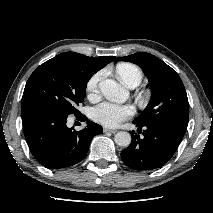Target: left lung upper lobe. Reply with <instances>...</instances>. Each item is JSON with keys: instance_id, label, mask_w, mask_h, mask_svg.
<instances>
[{"instance_id": "obj_1", "label": "left lung upper lobe", "mask_w": 213, "mask_h": 213, "mask_svg": "<svg viewBox=\"0 0 213 213\" xmlns=\"http://www.w3.org/2000/svg\"><path fill=\"white\" fill-rule=\"evenodd\" d=\"M118 59L137 64L149 78L151 99L134 122L171 123L186 129L189 119L188 98L177 72L150 53L140 52Z\"/></svg>"}]
</instances>
